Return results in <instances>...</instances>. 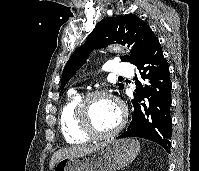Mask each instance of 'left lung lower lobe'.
<instances>
[{"instance_id": "0a47b994", "label": "left lung lower lobe", "mask_w": 199, "mask_h": 171, "mask_svg": "<svg viewBox=\"0 0 199 171\" xmlns=\"http://www.w3.org/2000/svg\"><path fill=\"white\" fill-rule=\"evenodd\" d=\"M144 84L135 81L133 116L128 129L118 138L140 137L161 145L170 152L172 136L171 80L168 62L159 40L135 64Z\"/></svg>"}]
</instances>
